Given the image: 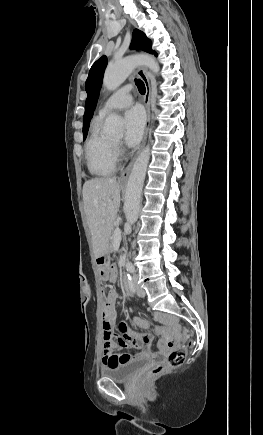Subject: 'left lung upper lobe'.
I'll return each instance as SVG.
<instances>
[{"label": "left lung upper lobe", "instance_id": "1", "mask_svg": "<svg viewBox=\"0 0 263 435\" xmlns=\"http://www.w3.org/2000/svg\"><path fill=\"white\" fill-rule=\"evenodd\" d=\"M151 45L152 43L150 39H148L142 31L138 29H135L133 31L131 49L143 50L148 53L157 55L156 52L151 49ZM106 66H107V57L102 56L92 65L89 72V76L85 83L87 99L85 104V114H84V121H83L84 140L87 136L90 120L93 116V112L96 107L99 92L101 89L102 77Z\"/></svg>", "mask_w": 263, "mask_h": 435}]
</instances>
